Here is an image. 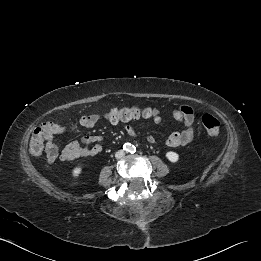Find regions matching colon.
Segmentation results:
<instances>
[{"label":"colon","mask_w":261,"mask_h":261,"mask_svg":"<svg viewBox=\"0 0 261 261\" xmlns=\"http://www.w3.org/2000/svg\"><path fill=\"white\" fill-rule=\"evenodd\" d=\"M156 110L152 108H137V107H121L114 108L105 114V118L109 121H130L139 118H147L156 115ZM202 124L205 128L207 135L215 139L219 135L220 123L217 118L210 114H204L201 118ZM48 134V128L46 123L41 124L33 132L29 148L33 155H41L44 149V144L46 142V137Z\"/></svg>","instance_id":"obj_1"}]
</instances>
